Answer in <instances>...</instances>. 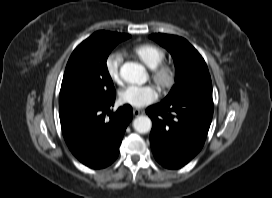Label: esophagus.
<instances>
[{"mask_svg": "<svg viewBox=\"0 0 272 198\" xmlns=\"http://www.w3.org/2000/svg\"><path fill=\"white\" fill-rule=\"evenodd\" d=\"M141 114H143V111H142L141 109H137V108H134V109H133V115H134L135 117H137V116H139V115H141Z\"/></svg>", "mask_w": 272, "mask_h": 198, "instance_id": "1", "label": "esophagus"}]
</instances>
